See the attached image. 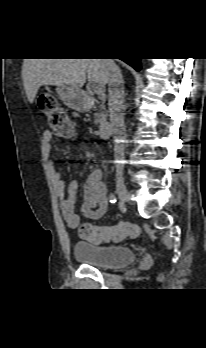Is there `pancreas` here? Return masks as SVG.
<instances>
[{
    "instance_id": "cf45deb5",
    "label": "pancreas",
    "mask_w": 206,
    "mask_h": 348,
    "mask_svg": "<svg viewBox=\"0 0 206 348\" xmlns=\"http://www.w3.org/2000/svg\"><path fill=\"white\" fill-rule=\"evenodd\" d=\"M97 110H98V112L95 114V123L99 124L101 122V119L103 117H106L107 114L105 112L104 104H101Z\"/></svg>"
}]
</instances>
